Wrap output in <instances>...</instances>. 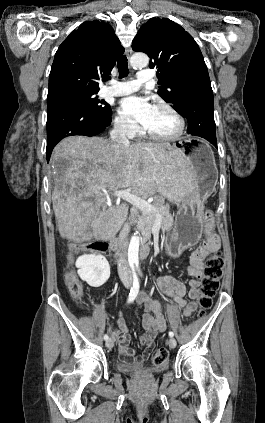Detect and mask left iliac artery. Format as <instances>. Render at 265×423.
Returning a JSON list of instances; mask_svg holds the SVG:
<instances>
[{
  "mask_svg": "<svg viewBox=\"0 0 265 423\" xmlns=\"http://www.w3.org/2000/svg\"><path fill=\"white\" fill-rule=\"evenodd\" d=\"M136 267H137V269H138V262H136ZM138 271H139V269H138ZM169 336H170V337H173V336H174V333H173L172 331H170V332H169Z\"/></svg>",
  "mask_w": 265,
  "mask_h": 423,
  "instance_id": "1",
  "label": "left iliac artery"
}]
</instances>
